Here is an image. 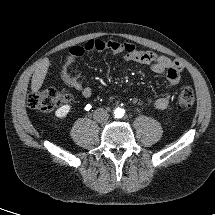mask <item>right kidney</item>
<instances>
[{"label": "right kidney", "mask_w": 215, "mask_h": 215, "mask_svg": "<svg viewBox=\"0 0 215 215\" xmlns=\"http://www.w3.org/2000/svg\"><path fill=\"white\" fill-rule=\"evenodd\" d=\"M70 110H71L70 105H63L55 111V116L61 120L67 116Z\"/></svg>", "instance_id": "1"}]
</instances>
